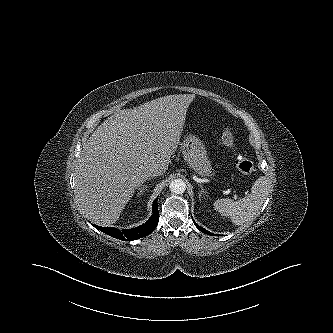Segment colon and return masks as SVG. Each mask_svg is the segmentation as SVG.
<instances>
[{
  "instance_id": "1",
  "label": "colon",
  "mask_w": 333,
  "mask_h": 333,
  "mask_svg": "<svg viewBox=\"0 0 333 333\" xmlns=\"http://www.w3.org/2000/svg\"><path fill=\"white\" fill-rule=\"evenodd\" d=\"M221 140L224 146L234 155L237 170L244 175H250L253 173L254 164L238 152L235 144L234 133L231 128L224 129L221 135Z\"/></svg>"
}]
</instances>
